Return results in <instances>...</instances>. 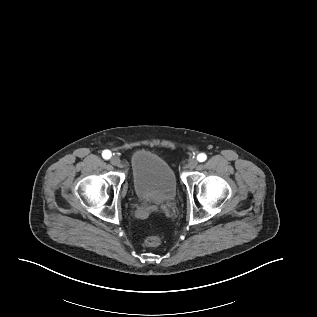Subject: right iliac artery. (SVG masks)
<instances>
[{"label":"right iliac artery","mask_w":317,"mask_h":317,"mask_svg":"<svg viewBox=\"0 0 317 317\" xmlns=\"http://www.w3.org/2000/svg\"><path fill=\"white\" fill-rule=\"evenodd\" d=\"M111 152L109 150H104L102 156L104 159H109L111 157Z\"/></svg>","instance_id":"obj_1"}]
</instances>
